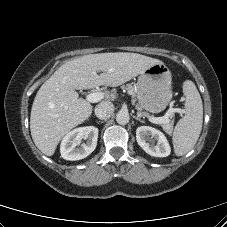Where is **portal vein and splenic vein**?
Listing matches in <instances>:
<instances>
[{"label": "portal vein and splenic vein", "mask_w": 227, "mask_h": 227, "mask_svg": "<svg viewBox=\"0 0 227 227\" xmlns=\"http://www.w3.org/2000/svg\"><path fill=\"white\" fill-rule=\"evenodd\" d=\"M103 98H104V93L103 92H93V93H90V94H88L86 96V100L88 102H91V103H96L98 101H101ZM175 112L182 113L183 110H181L179 108H173L171 110V113H175ZM149 120L152 123H155V124H163V123L168 122L169 118L167 116H163V117H149Z\"/></svg>", "instance_id": "1"}]
</instances>
